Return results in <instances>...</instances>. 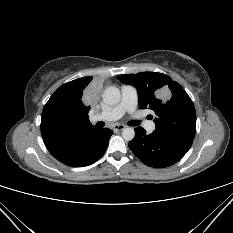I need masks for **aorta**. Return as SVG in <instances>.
Wrapping results in <instances>:
<instances>
[{"label": "aorta", "mask_w": 233, "mask_h": 233, "mask_svg": "<svg viewBox=\"0 0 233 233\" xmlns=\"http://www.w3.org/2000/svg\"><path fill=\"white\" fill-rule=\"evenodd\" d=\"M120 99H121L120 90L115 86H109L103 92V101L108 105H116L120 102ZM122 137L126 141L133 140L135 137L134 129L131 127L123 129Z\"/></svg>", "instance_id": "762f6f07"}]
</instances>
